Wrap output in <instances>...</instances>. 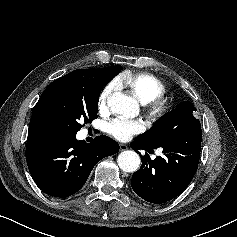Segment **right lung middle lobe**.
I'll return each mask as SVG.
<instances>
[{"instance_id": "1", "label": "right lung middle lobe", "mask_w": 237, "mask_h": 237, "mask_svg": "<svg viewBox=\"0 0 237 237\" xmlns=\"http://www.w3.org/2000/svg\"><path fill=\"white\" fill-rule=\"evenodd\" d=\"M121 69L120 65L91 69L93 85L87 89L62 81L52 84L44 109L49 130L76 134L82 128L81 122L97 118L100 92Z\"/></svg>"}]
</instances>
